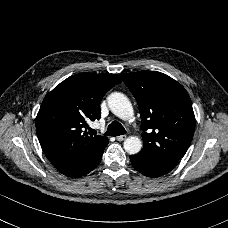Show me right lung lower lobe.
Masks as SVG:
<instances>
[{
    "instance_id": "obj_1",
    "label": "right lung lower lobe",
    "mask_w": 228,
    "mask_h": 228,
    "mask_svg": "<svg viewBox=\"0 0 228 228\" xmlns=\"http://www.w3.org/2000/svg\"><path fill=\"white\" fill-rule=\"evenodd\" d=\"M108 142V138H106L94 144L88 151L74 159L55 162L52 164L59 172L66 176H84L99 165L103 151Z\"/></svg>"
}]
</instances>
